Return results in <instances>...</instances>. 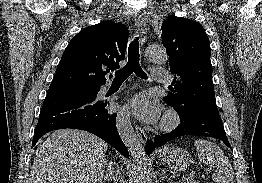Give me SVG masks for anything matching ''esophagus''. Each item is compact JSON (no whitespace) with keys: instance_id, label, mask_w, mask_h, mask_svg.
<instances>
[{"instance_id":"34e87169","label":"esophagus","mask_w":262,"mask_h":183,"mask_svg":"<svg viewBox=\"0 0 262 183\" xmlns=\"http://www.w3.org/2000/svg\"><path fill=\"white\" fill-rule=\"evenodd\" d=\"M135 24L140 33V43L141 45H144L147 41V28L145 18L141 13L135 14ZM135 130L139 140L142 143H145L147 141V134L145 133V131L139 125H135Z\"/></svg>"}]
</instances>
